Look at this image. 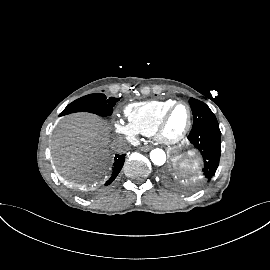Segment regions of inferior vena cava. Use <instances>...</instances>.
Wrapping results in <instances>:
<instances>
[{"label": "inferior vena cava", "instance_id": "1", "mask_svg": "<svg viewBox=\"0 0 270 270\" xmlns=\"http://www.w3.org/2000/svg\"><path fill=\"white\" fill-rule=\"evenodd\" d=\"M112 149L118 153H124L129 150L130 146L124 139H116L111 145Z\"/></svg>", "mask_w": 270, "mask_h": 270}]
</instances>
